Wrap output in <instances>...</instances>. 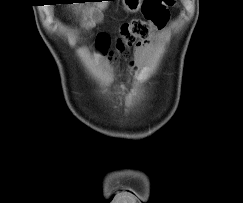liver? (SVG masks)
<instances>
[{
  "label": "liver",
  "instance_id": "obj_1",
  "mask_svg": "<svg viewBox=\"0 0 243 203\" xmlns=\"http://www.w3.org/2000/svg\"><path fill=\"white\" fill-rule=\"evenodd\" d=\"M107 3H108L107 1L97 2L95 6L97 7V10L101 11L107 7L108 5ZM92 13H93V8H89L84 12V20L86 21L85 23L86 27L92 26L91 22L87 21L88 18H91Z\"/></svg>",
  "mask_w": 243,
  "mask_h": 203
}]
</instances>
